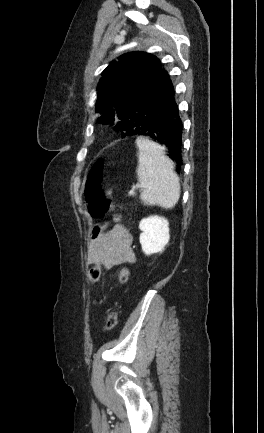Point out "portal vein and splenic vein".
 <instances>
[{
	"label": "portal vein and splenic vein",
	"instance_id": "1",
	"mask_svg": "<svg viewBox=\"0 0 264 433\" xmlns=\"http://www.w3.org/2000/svg\"><path fill=\"white\" fill-rule=\"evenodd\" d=\"M136 188H142V185L137 184V185H136ZM129 194H130V195H134V194H135V191H134V190H131V191L129 192Z\"/></svg>",
	"mask_w": 264,
	"mask_h": 433
}]
</instances>
